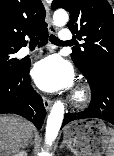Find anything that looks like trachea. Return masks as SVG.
Segmentation results:
<instances>
[{"instance_id": "trachea-1", "label": "trachea", "mask_w": 114, "mask_h": 156, "mask_svg": "<svg viewBox=\"0 0 114 156\" xmlns=\"http://www.w3.org/2000/svg\"><path fill=\"white\" fill-rule=\"evenodd\" d=\"M49 40L51 43L53 44H67L68 42H64L59 40L57 37H55L54 35H50ZM38 40L35 36H30V44H37Z\"/></svg>"}]
</instances>
